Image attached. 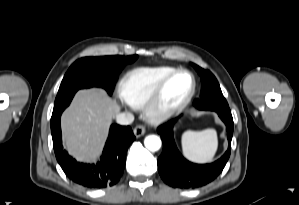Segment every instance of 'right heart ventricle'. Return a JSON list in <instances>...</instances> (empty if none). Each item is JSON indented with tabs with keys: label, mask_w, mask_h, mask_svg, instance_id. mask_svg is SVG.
<instances>
[{
	"label": "right heart ventricle",
	"mask_w": 299,
	"mask_h": 205,
	"mask_svg": "<svg viewBox=\"0 0 299 205\" xmlns=\"http://www.w3.org/2000/svg\"><path fill=\"white\" fill-rule=\"evenodd\" d=\"M175 70L169 66L138 67L130 70L119 83L121 100L132 108L144 107L160 82Z\"/></svg>",
	"instance_id": "e07e8e85"
}]
</instances>
